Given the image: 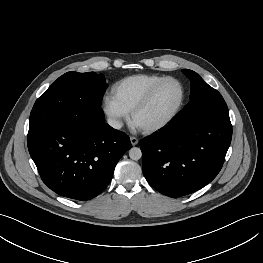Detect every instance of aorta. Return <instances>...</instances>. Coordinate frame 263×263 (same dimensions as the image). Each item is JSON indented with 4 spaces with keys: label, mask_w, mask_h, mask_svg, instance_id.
I'll return each mask as SVG.
<instances>
[{
    "label": "aorta",
    "mask_w": 263,
    "mask_h": 263,
    "mask_svg": "<svg viewBox=\"0 0 263 263\" xmlns=\"http://www.w3.org/2000/svg\"><path fill=\"white\" fill-rule=\"evenodd\" d=\"M142 156L141 149L138 147H133L129 150V157L132 160H139Z\"/></svg>",
    "instance_id": "aorta-1"
}]
</instances>
